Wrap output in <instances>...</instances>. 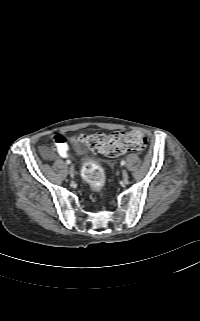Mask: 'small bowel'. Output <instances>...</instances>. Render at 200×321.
I'll use <instances>...</instances> for the list:
<instances>
[{
  "label": "small bowel",
  "instance_id": "small-bowel-1",
  "mask_svg": "<svg viewBox=\"0 0 200 321\" xmlns=\"http://www.w3.org/2000/svg\"><path fill=\"white\" fill-rule=\"evenodd\" d=\"M54 148L52 150L47 148H42V154L48 158L53 159L57 156L66 158L69 156V145L66 138L62 135H55L52 138Z\"/></svg>",
  "mask_w": 200,
  "mask_h": 321
}]
</instances>
